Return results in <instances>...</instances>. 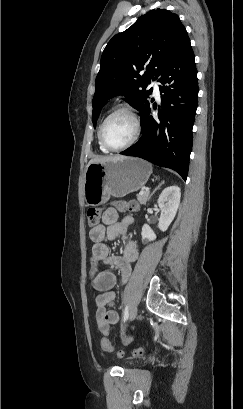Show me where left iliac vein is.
<instances>
[{"mask_svg": "<svg viewBox=\"0 0 243 409\" xmlns=\"http://www.w3.org/2000/svg\"><path fill=\"white\" fill-rule=\"evenodd\" d=\"M137 306L136 305H134L133 307H132V309H131V311H130V315H129V320L130 321H133L135 318H136V316H137Z\"/></svg>", "mask_w": 243, "mask_h": 409, "instance_id": "left-iliac-vein-1", "label": "left iliac vein"}]
</instances>
